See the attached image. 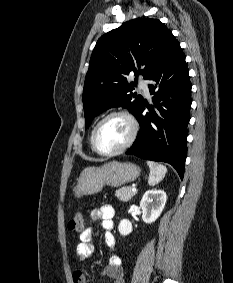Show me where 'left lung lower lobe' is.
Returning a JSON list of instances; mask_svg holds the SVG:
<instances>
[{
	"label": "left lung lower lobe",
	"mask_w": 233,
	"mask_h": 283,
	"mask_svg": "<svg viewBox=\"0 0 233 283\" xmlns=\"http://www.w3.org/2000/svg\"><path fill=\"white\" fill-rule=\"evenodd\" d=\"M148 79L153 81L149 89L154 105L142 102L138 109L135 116L140 132L126 154L169 163L182 179L192 101L189 71L179 43ZM145 107L149 112L143 115Z\"/></svg>",
	"instance_id": "0a47b994"
}]
</instances>
